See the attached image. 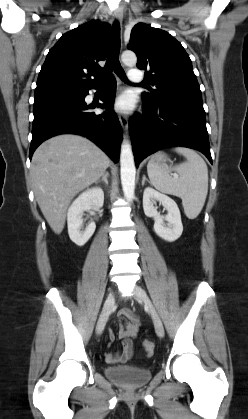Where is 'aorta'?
<instances>
[{
	"mask_svg": "<svg viewBox=\"0 0 248 419\" xmlns=\"http://www.w3.org/2000/svg\"><path fill=\"white\" fill-rule=\"evenodd\" d=\"M121 59L126 66H134L137 62V57L132 51L123 52ZM120 166L121 184L125 199L132 201L134 198L136 168L131 145L126 139L121 144Z\"/></svg>",
	"mask_w": 248,
	"mask_h": 419,
	"instance_id": "762f6f07",
	"label": "aorta"
}]
</instances>
